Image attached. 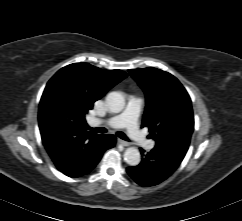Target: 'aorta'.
Listing matches in <instances>:
<instances>
[{
    "label": "aorta",
    "instance_id": "762f6f07",
    "mask_svg": "<svg viewBox=\"0 0 242 221\" xmlns=\"http://www.w3.org/2000/svg\"><path fill=\"white\" fill-rule=\"evenodd\" d=\"M106 103L109 110L113 113L121 112L125 107V99L120 92H110L106 97ZM124 159L130 166H137L140 159V152L135 147H129L124 152Z\"/></svg>",
    "mask_w": 242,
    "mask_h": 221
}]
</instances>
